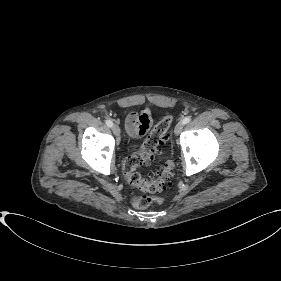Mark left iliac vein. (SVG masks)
<instances>
[{
	"mask_svg": "<svg viewBox=\"0 0 281 281\" xmlns=\"http://www.w3.org/2000/svg\"><path fill=\"white\" fill-rule=\"evenodd\" d=\"M183 127H184L183 122H178L174 129L175 135H179L181 133V131L183 130Z\"/></svg>",
	"mask_w": 281,
	"mask_h": 281,
	"instance_id": "left-iliac-vein-1",
	"label": "left iliac vein"
}]
</instances>
